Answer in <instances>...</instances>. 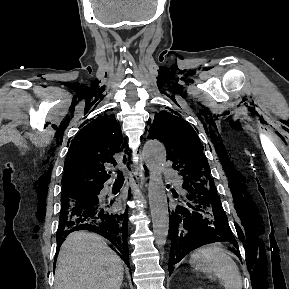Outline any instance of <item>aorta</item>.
<instances>
[{"instance_id":"1","label":"aorta","mask_w":289,"mask_h":289,"mask_svg":"<svg viewBox=\"0 0 289 289\" xmlns=\"http://www.w3.org/2000/svg\"><path fill=\"white\" fill-rule=\"evenodd\" d=\"M143 158L149 171L148 196L155 243L166 244L169 231V212L162 171L166 162V149L157 140H148L143 146Z\"/></svg>"}]
</instances>
